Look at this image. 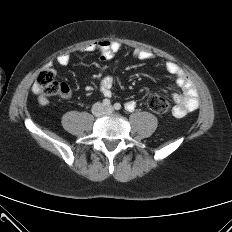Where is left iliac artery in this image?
Segmentation results:
<instances>
[{
	"label": "left iliac artery",
	"instance_id": "44dca946",
	"mask_svg": "<svg viewBox=\"0 0 232 232\" xmlns=\"http://www.w3.org/2000/svg\"><path fill=\"white\" fill-rule=\"evenodd\" d=\"M114 108H115L116 110H120V109H121V104H120V103H115V104H114ZM128 110H129V111H132L133 108H128Z\"/></svg>",
	"mask_w": 232,
	"mask_h": 232
}]
</instances>
